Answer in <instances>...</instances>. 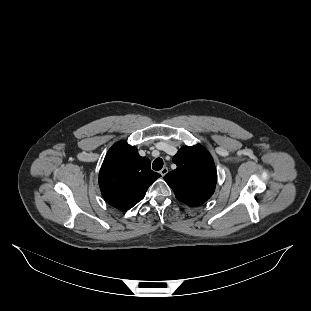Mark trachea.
<instances>
[{
    "label": "trachea",
    "instance_id": "obj_1",
    "mask_svg": "<svg viewBox=\"0 0 311 311\" xmlns=\"http://www.w3.org/2000/svg\"><path fill=\"white\" fill-rule=\"evenodd\" d=\"M162 167H163V160L161 158L155 159L152 164V168L158 171V170H161Z\"/></svg>",
    "mask_w": 311,
    "mask_h": 311
}]
</instances>
